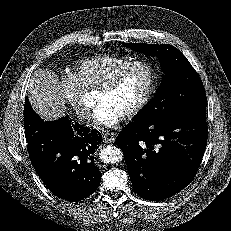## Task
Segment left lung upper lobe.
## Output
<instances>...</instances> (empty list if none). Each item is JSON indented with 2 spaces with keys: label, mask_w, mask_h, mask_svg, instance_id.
Segmentation results:
<instances>
[{
  "label": "left lung upper lobe",
  "mask_w": 231,
  "mask_h": 231,
  "mask_svg": "<svg viewBox=\"0 0 231 231\" xmlns=\"http://www.w3.org/2000/svg\"><path fill=\"white\" fill-rule=\"evenodd\" d=\"M127 47L160 59L165 76L154 99L133 119L160 122L182 113L206 109L203 83L187 58L169 44L126 43Z\"/></svg>",
  "instance_id": "1"
}]
</instances>
